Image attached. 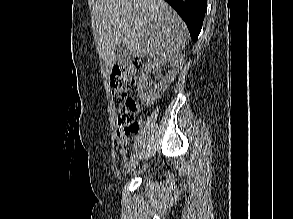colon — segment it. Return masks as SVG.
Segmentation results:
<instances>
[{"label": "colon", "mask_w": 293, "mask_h": 219, "mask_svg": "<svg viewBox=\"0 0 293 219\" xmlns=\"http://www.w3.org/2000/svg\"><path fill=\"white\" fill-rule=\"evenodd\" d=\"M141 66L142 62L134 59L116 66L110 76L112 98L118 104V131L124 135L136 133L140 128V122L137 120L139 105L133 93Z\"/></svg>", "instance_id": "obj_1"}]
</instances>
